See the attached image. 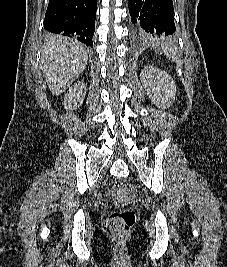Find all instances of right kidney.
<instances>
[{
    "label": "right kidney",
    "instance_id": "right-kidney-1",
    "mask_svg": "<svg viewBox=\"0 0 227 267\" xmlns=\"http://www.w3.org/2000/svg\"><path fill=\"white\" fill-rule=\"evenodd\" d=\"M86 94V85L83 81H78L69 88L64 96V105L68 110L79 107Z\"/></svg>",
    "mask_w": 227,
    "mask_h": 267
}]
</instances>
